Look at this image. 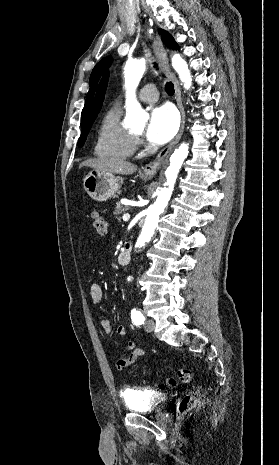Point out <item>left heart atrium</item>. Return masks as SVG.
I'll use <instances>...</instances> for the list:
<instances>
[{
    "label": "left heart atrium",
    "mask_w": 279,
    "mask_h": 465,
    "mask_svg": "<svg viewBox=\"0 0 279 465\" xmlns=\"http://www.w3.org/2000/svg\"><path fill=\"white\" fill-rule=\"evenodd\" d=\"M179 127V119L175 109L170 105L154 108L150 114L146 129V138L157 145L171 140Z\"/></svg>",
    "instance_id": "left-heart-atrium-1"
}]
</instances>
